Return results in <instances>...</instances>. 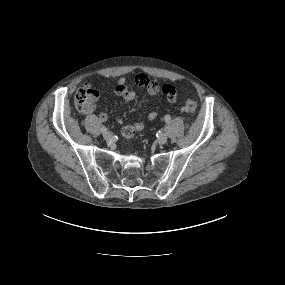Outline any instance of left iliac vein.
Returning a JSON list of instances; mask_svg holds the SVG:
<instances>
[{
	"instance_id": "left-iliac-vein-1",
	"label": "left iliac vein",
	"mask_w": 285,
	"mask_h": 285,
	"mask_svg": "<svg viewBox=\"0 0 285 285\" xmlns=\"http://www.w3.org/2000/svg\"><path fill=\"white\" fill-rule=\"evenodd\" d=\"M168 138L165 134H161L158 138H157V142L159 144H165L167 142Z\"/></svg>"
}]
</instances>
